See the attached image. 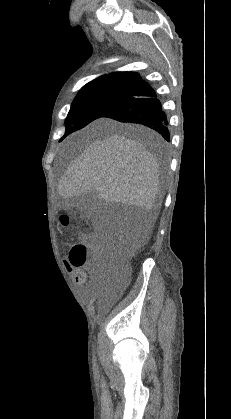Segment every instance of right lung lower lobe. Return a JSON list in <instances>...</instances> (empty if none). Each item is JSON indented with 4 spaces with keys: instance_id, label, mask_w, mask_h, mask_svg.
<instances>
[{
    "instance_id": "obj_1",
    "label": "right lung lower lobe",
    "mask_w": 231,
    "mask_h": 419,
    "mask_svg": "<svg viewBox=\"0 0 231 419\" xmlns=\"http://www.w3.org/2000/svg\"><path fill=\"white\" fill-rule=\"evenodd\" d=\"M103 117L145 125L160 133L165 140L170 141L168 122L162 111L161 102L145 81H140L129 97Z\"/></svg>"
}]
</instances>
